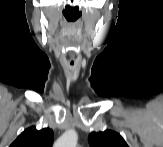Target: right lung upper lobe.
Returning a JSON list of instances; mask_svg holds the SVG:
<instances>
[{"instance_id": "1", "label": "right lung upper lobe", "mask_w": 163, "mask_h": 147, "mask_svg": "<svg viewBox=\"0 0 163 147\" xmlns=\"http://www.w3.org/2000/svg\"><path fill=\"white\" fill-rule=\"evenodd\" d=\"M53 130L44 128L37 130L34 126L25 129L10 147H51Z\"/></svg>"}]
</instances>
